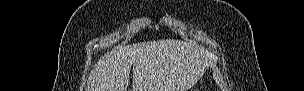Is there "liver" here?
Listing matches in <instances>:
<instances>
[{
  "mask_svg": "<svg viewBox=\"0 0 304 91\" xmlns=\"http://www.w3.org/2000/svg\"><path fill=\"white\" fill-rule=\"evenodd\" d=\"M207 64L201 50L178 40L121 46L103 57L88 79V91H127L133 66V91H187Z\"/></svg>",
  "mask_w": 304,
  "mask_h": 91,
  "instance_id": "obj_1",
  "label": "liver"
}]
</instances>
